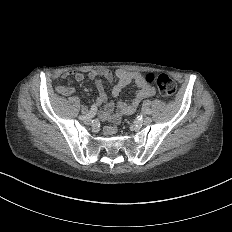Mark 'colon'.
Here are the masks:
<instances>
[{
    "label": "colon",
    "instance_id": "5ec220e1",
    "mask_svg": "<svg viewBox=\"0 0 232 232\" xmlns=\"http://www.w3.org/2000/svg\"><path fill=\"white\" fill-rule=\"evenodd\" d=\"M145 81L149 85L157 86V91H162L160 98H166L167 101L175 100V81H171L167 75L151 71L146 74Z\"/></svg>",
    "mask_w": 232,
    "mask_h": 232
}]
</instances>
